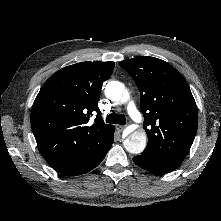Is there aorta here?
Here are the masks:
<instances>
[{
	"mask_svg": "<svg viewBox=\"0 0 221 221\" xmlns=\"http://www.w3.org/2000/svg\"><path fill=\"white\" fill-rule=\"evenodd\" d=\"M105 95L115 102H127L129 92L119 81H110L105 86ZM147 135L142 129L132 132L123 142L125 149L132 154H140L146 147Z\"/></svg>",
	"mask_w": 221,
	"mask_h": 221,
	"instance_id": "1",
	"label": "aorta"
}]
</instances>
